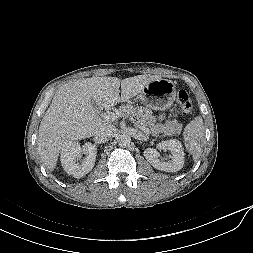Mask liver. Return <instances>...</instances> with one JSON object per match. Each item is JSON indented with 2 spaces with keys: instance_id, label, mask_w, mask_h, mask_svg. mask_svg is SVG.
<instances>
[{
  "instance_id": "6515ba94",
  "label": "liver",
  "mask_w": 253,
  "mask_h": 253,
  "mask_svg": "<svg viewBox=\"0 0 253 253\" xmlns=\"http://www.w3.org/2000/svg\"><path fill=\"white\" fill-rule=\"evenodd\" d=\"M156 75L79 79L61 86L55 93L39 126L38 151L44 166L53 171L59 153L68 144L96 134L103 121L92 100L107 108L125 102L142 92ZM119 87H121V95Z\"/></svg>"
}]
</instances>
